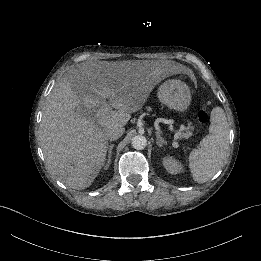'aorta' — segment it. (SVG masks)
<instances>
[{
  "mask_svg": "<svg viewBox=\"0 0 261 261\" xmlns=\"http://www.w3.org/2000/svg\"><path fill=\"white\" fill-rule=\"evenodd\" d=\"M132 147L136 150H143L147 146V139L143 135H136L131 141Z\"/></svg>",
  "mask_w": 261,
  "mask_h": 261,
  "instance_id": "aorta-1",
  "label": "aorta"
}]
</instances>
